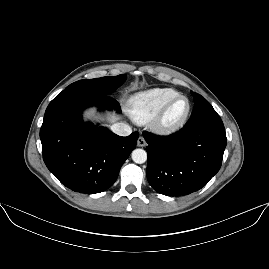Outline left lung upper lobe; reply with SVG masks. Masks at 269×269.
Wrapping results in <instances>:
<instances>
[{
  "mask_svg": "<svg viewBox=\"0 0 269 269\" xmlns=\"http://www.w3.org/2000/svg\"><path fill=\"white\" fill-rule=\"evenodd\" d=\"M194 97V110L185 127H193L202 123L221 120L212 105L200 94L191 92Z\"/></svg>",
  "mask_w": 269,
  "mask_h": 269,
  "instance_id": "1",
  "label": "left lung upper lobe"
}]
</instances>
